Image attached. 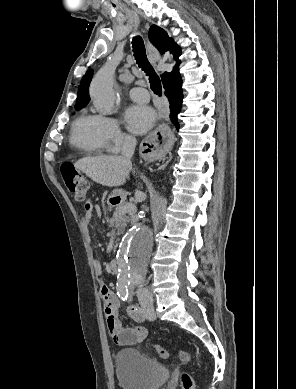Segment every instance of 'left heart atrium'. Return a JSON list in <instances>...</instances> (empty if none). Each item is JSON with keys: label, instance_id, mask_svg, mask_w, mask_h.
I'll return each mask as SVG.
<instances>
[{"label": "left heart atrium", "instance_id": "39dd6f15", "mask_svg": "<svg viewBox=\"0 0 296 389\" xmlns=\"http://www.w3.org/2000/svg\"><path fill=\"white\" fill-rule=\"evenodd\" d=\"M155 120L154 110L145 105H131L125 111L127 127L135 134H144L149 131Z\"/></svg>", "mask_w": 296, "mask_h": 389}]
</instances>
